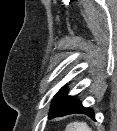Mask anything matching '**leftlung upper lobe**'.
I'll use <instances>...</instances> for the list:
<instances>
[{
  "mask_svg": "<svg viewBox=\"0 0 117 131\" xmlns=\"http://www.w3.org/2000/svg\"><path fill=\"white\" fill-rule=\"evenodd\" d=\"M57 99L53 103L49 117L61 116V113L73 103L72 98L65 95V90L61 89L57 94Z\"/></svg>",
  "mask_w": 117,
  "mask_h": 131,
  "instance_id": "1",
  "label": "left lung upper lobe"
}]
</instances>
